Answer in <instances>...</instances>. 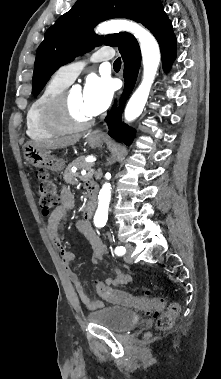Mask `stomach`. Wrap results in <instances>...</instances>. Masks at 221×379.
<instances>
[{"mask_svg": "<svg viewBox=\"0 0 221 379\" xmlns=\"http://www.w3.org/2000/svg\"><path fill=\"white\" fill-rule=\"evenodd\" d=\"M87 142L92 148L102 145L103 138L93 133L87 135ZM24 156L28 164L36 168H44L55 172H60L65 167V161L51 155L49 150L36 148L27 145L24 148Z\"/></svg>", "mask_w": 221, "mask_h": 379, "instance_id": "1", "label": "stomach"}]
</instances>
